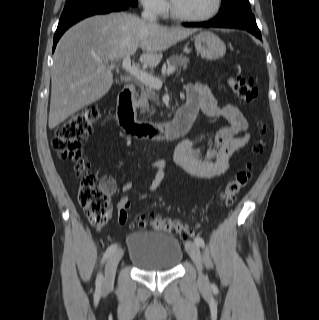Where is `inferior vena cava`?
I'll return each mask as SVG.
<instances>
[{"instance_id": "1", "label": "inferior vena cava", "mask_w": 319, "mask_h": 320, "mask_svg": "<svg viewBox=\"0 0 319 320\" xmlns=\"http://www.w3.org/2000/svg\"><path fill=\"white\" fill-rule=\"evenodd\" d=\"M142 18L149 22H155L156 21V15L152 7L149 5H146L144 8V11L142 12Z\"/></svg>"}]
</instances>
